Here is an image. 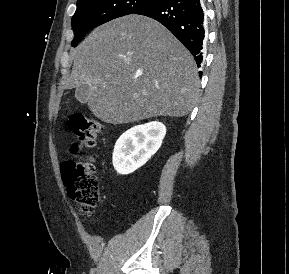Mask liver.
I'll list each match as a JSON object with an SVG mask.
<instances>
[{
  "mask_svg": "<svg viewBox=\"0 0 289 274\" xmlns=\"http://www.w3.org/2000/svg\"><path fill=\"white\" fill-rule=\"evenodd\" d=\"M65 89L87 86L88 107L109 124L183 117L199 98L191 53L157 21L140 15L94 29L72 52Z\"/></svg>",
  "mask_w": 289,
  "mask_h": 274,
  "instance_id": "liver-1",
  "label": "liver"
}]
</instances>
